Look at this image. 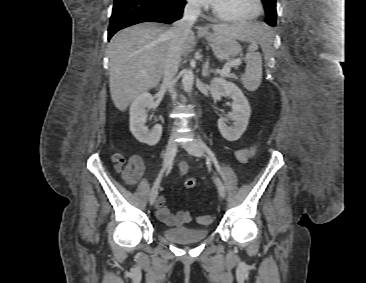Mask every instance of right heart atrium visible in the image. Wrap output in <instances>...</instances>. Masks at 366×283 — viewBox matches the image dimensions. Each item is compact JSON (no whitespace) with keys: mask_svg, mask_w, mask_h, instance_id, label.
Here are the masks:
<instances>
[{"mask_svg":"<svg viewBox=\"0 0 366 283\" xmlns=\"http://www.w3.org/2000/svg\"><path fill=\"white\" fill-rule=\"evenodd\" d=\"M187 2H188L189 7L194 10H197L200 7L198 0H187Z\"/></svg>","mask_w":366,"mask_h":283,"instance_id":"obj_1","label":"right heart atrium"}]
</instances>
